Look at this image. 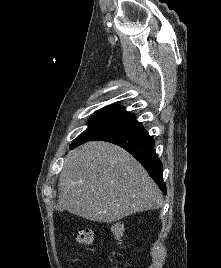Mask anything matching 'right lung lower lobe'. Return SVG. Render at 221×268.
I'll return each instance as SVG.
<instances>
[{"instance_id": "1", "label": "right lung lower lobe", "mask_w": 221, "mask_h": 268, "mask_svg": "<svg viewBox=\"0 0 221 268\" xmlns=\"http://www.w3.org/2000/svg\"><path fill=\"white\" fill-rule=\"evenodd\" d=\"M94 140L108 141L127 150L144 166L159 188L166 194V186L163 182V165L154 151L155 142L139 122L123 123L88 141Z\"/></svg>"}]
</instances>
